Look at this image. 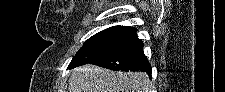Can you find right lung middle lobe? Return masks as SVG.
I'll list each match as a JSON object with an SVG mask.
<instances>
[{
	"mask_svg": "<svg viewBox=\"0 0 225 92\" xmlns=\"http://www.w3.org/2000/svg\"><path fill=\"white\" fill-rule=\"evenodd\" d=\"M136 31L137 29L132 27L113 26L98 32L79 49L68 69L88 64L102 55L137 41Z\"/></svg>",
	"mask_w": 225,
	"mask_h": 92,
	"instance_id": "right-lung-middle-lobe-1",
	"label": "right lung middle lobe"
}]
</instances>
